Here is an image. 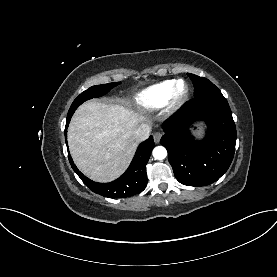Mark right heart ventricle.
I'll return each instance as SVG.
<instances>
[{
	"label": "right heart ventricle",
	"instance_id": "obj_1",
	"mask_svg": "<svg viewBox=\"0 0 277 277\" xmlns=\"http://www.w3.org/2000/svg\"><path fill=\"white\" fill-rule=\"evenodd\" d=\"M176 80H166L154 84L135 97V104L143 111H154L163 107L170 98Z\"/></svg>",
	"mask_w": 277,
	"mask_h": 277
}]
</instances>
